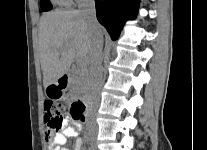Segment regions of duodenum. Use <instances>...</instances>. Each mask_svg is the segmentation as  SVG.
<instances>
[{"instance_id":"410a0bca","label":"duodenum","mask_w":207,"mask_h":150,"mask_svg":"<svg viewBox=\"0 0 207 150\" xmlns=\"http://www.w3.org/2000/svg\"><path fill=\"white\" fill-rule=\"evenodd\" d=\"M68 80H69L68 75H63L60 78L59 83L61 86L65 87L68 83ZM88 106H89V102L87 100L78 101L74 104L75 109L81 114L82 118L87 117L89 112Z\"/></svg>"}]
</instances>
